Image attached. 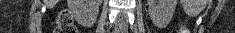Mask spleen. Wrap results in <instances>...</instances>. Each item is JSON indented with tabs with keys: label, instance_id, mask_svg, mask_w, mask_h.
I'll return each mask as SVG.
<instances>
[{
	"label": "spleen",
	"instance_id": "3e777b00",
	"mask_svg": "<svg viewBox=\"0 0 235 33\" xmlns=\"http://www.w3.org/2000/svg\"><path fill=\"white\" fill-rule=\"evenodd\" d=\"M189 12H190V13H197V10H196V11H194V12H192L191 10H189Z\"/></svg>",
	"mask_w": 235,
	"mask_h": 33
}]
</instances>
